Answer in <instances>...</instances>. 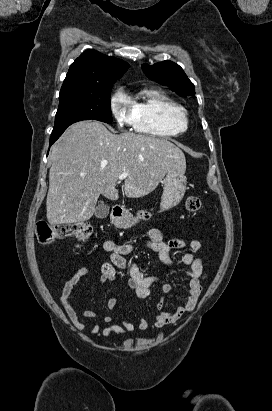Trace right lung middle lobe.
<instances>
[{
  "label": "right lung middle lobe",
  "instance_id": "obj_1",
  "mask_svg": "<svg viewBox=\"0 0 272 411\" xmlns=\"http://www.w3.org/2000/svg\"><path fill=\"white\" fill-rule=\"evenodd\" d=\"M112 84L88 90L60 92L59 107L51 138H58L69 125L78 121L93 119L111 123Z\"/></svg>",
  "mask_w": 272,
  "mask_h": 411
}]
</instances>
